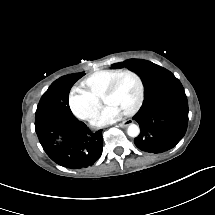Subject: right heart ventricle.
I'll return each mask as SVG.
<instances>
[{
    "mask_svg": "<svg viewBox=\"0 0 215 215\" xmlns=\"http://www.w3.org/2000/svg\"><path fill=\"white\" fill-rule=\"evenodd\" d=\"M121 70L113 69L106 71H98L94 74L86 83V90L92 94H101L104 90L109 87L111 82V75Z\"/></svg>",
    "mask_w": 215,
    "mask_h": 215,
    "instance_id": "right-heart-ventricle-1",
    "label": "right heart ventricle"
}]
</instances>
